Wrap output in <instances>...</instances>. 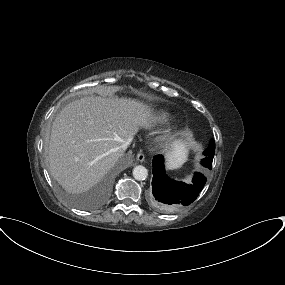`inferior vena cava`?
<instances>
[{"label":"inferior vena cava","instance_id":"inferior-vena-cava-1","mask_svg":"<svg viewBox=\"0 0 285 285\" xmlns=\"http://www.w3.org/2000/svg\"><path fill=\"white\" fill-rule=\"evenodd\" d=\"M130 140H128V141H126L125 143H123L122 145H121V150L122 151H125L126 149H127V147H128V145L130 144Z\"/></svg>","mask_w":285,"mask_h":285}]
</instances>
